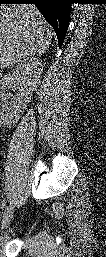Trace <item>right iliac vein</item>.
I'll list each match as a JSON object with an SVG mask.
<instances>
[{"label":"right iliac vein","instance_id":"63e3f726","mask_svg":"<svg viewBox=\"0 0 106 257\" xmlns=\"http://www.w3.org/2000/svg\"><path fill=\"white\" fill-rule=\"evenodd\" d=\"M13 213H14V206L11 205L6 209V211L3 215L2 225H1L2 229L6 228L9 225V223L13 217Z\"/></svg>","mask_w":106,"mask_h":257}]
</instances>
